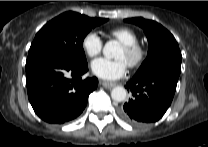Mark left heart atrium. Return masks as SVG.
Masks as SVG:
<instances>
[{
  "instance_id": "1",
  "label": "left heart atrium",
  "mask_w": 208,
  "mask_h": 147,
  "mask_svg": "<svg viewBox=\"0 0 208 147\" xmlns=\"http://www.w3.org/2000/svg\"><path fill=\"white\" fill-rule=\"evenodd\" d=\"M127 67V62L121 58L114 60L98 58L91 63L93 74L104 80L121 78L126 73Z\"/></svg>"
}]
</instances>
